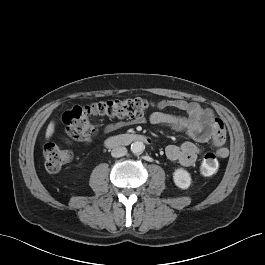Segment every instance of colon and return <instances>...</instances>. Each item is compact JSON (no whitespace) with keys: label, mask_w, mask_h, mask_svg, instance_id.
Returning a JSON list of instances; mask_svg holds the SVG:
<instances>
[{"label":"colon","mask_w":265,"mask_h":265,"mask_svg":"<svg viewBox=\"0 0 265 265\" xmlns=\"http://www.w3.org/2000/svg\"><path fill=\"white\" fill-rule=\"evenodd\" d=\"M152 102L143 98H127L97 102L90 105L74 106L62 117L68 139L84 142L96 133L91 117L106 116L112 119L140 118L150 108ZM45 166L49 172H57L70 162L72 154L60 146L48 143L44 147ZM219 169V160L214 153H207L200 163V171L205 176L214 175Z\"/></svg>","instance_id":"obj_1"}]
</instances>
